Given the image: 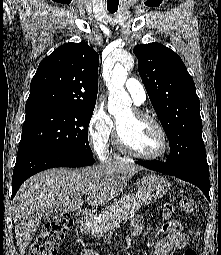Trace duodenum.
<instances>
[{
  "label": "duodenum",
  "mask_w": 221,
  "mask_h": 255,
  "mask_svg": "<svg viewBox=\"0 0 221 255\" xmlns=\"http://www.w3.org/2000/svg\"><path fill=\"white\" fill-rule=\"evenodd\" d=\"M75 219L79 224H88L91 220V215L88 211L80 210L76 213Z\"/></svg>",
  "instance_id": "410a0bca"
}]
</instances>
